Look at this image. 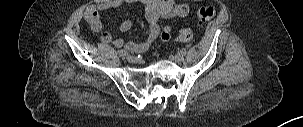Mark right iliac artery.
<instances>
[{
	"instance_id": "82829eb1",
	"label": "right iliac artery",
	"mask_w": 303,
	"mask_h": 127,
	"mask_svg": "<svg viewBox=\"0 0 303 127\" xmlns=\"http://www.w3.org/2000/svg\"><path fill=\"white\" fill-rule=\"evenodd\" d=\"M118 53L120 56H126L128 54V52L124 49L119 50Z\"/></svg>"
}]
</instances>
